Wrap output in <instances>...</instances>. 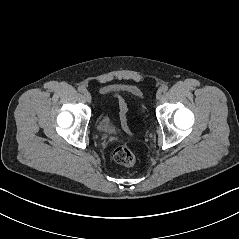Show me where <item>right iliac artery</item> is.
<instances>
[{
    "instance_id": "right-iliac-artery-1",
    "label": "right iliac artery",
    "mask_w": 239,
    "mask_h": 239,
    "mask_svg": "<svg viewBox=\"0 0 239 239\" xmlns=\"http://www.w3.org/2000/svg\"><path fill=\"white\" fill-rule=\"evenodd\" d=\"M78 91H79V92H84V91H85V88H84L83 86H79V87H78Z\"/></svg>"
}]
</instances>
